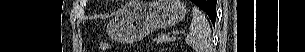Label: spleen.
<instances>
[{
    "instance_id": "3e777b00",
    "label": "spleen",
    "mask_w": 305,
    "mask_h": 52,
    "mask_svg": "<svg viewBox=\"0 0 305 52\" xmlns=\"http://www.w3.org/2000/svg\"><path fill=\"white\" fill-rule=\"evenodd\" d=\"M192 15L190 31L185 38L186 43L195 52H212L211 29L205 15L197 7H193Z\"/></svg>"
}]
</instances>
